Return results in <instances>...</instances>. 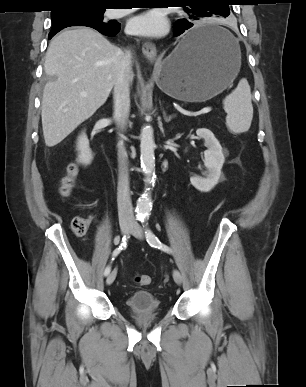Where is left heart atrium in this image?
<instances>
[{"label":"left heart atrium","mask_w":306,"mask_h":387,"mask_svg":"<svg viewBox=\"0 0 306 387\" xmlns=\"http://www.w3.org/2000/svg\"><path fill=\"white\" fill-rule=\"evenodd\" d=\"M167 30L166 18L157 11H147L139 14L128 23V31L135 35L162 36Z\"/></svg>","instance_id":"left-heart-atrium-1"}]
</instances>
